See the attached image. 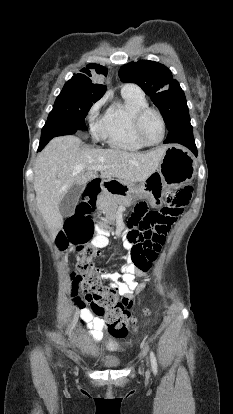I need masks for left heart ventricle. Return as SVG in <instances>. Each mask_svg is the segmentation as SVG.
<instances>
[{"label":"left heart ventricle","mask_w":233,"mask_h":414,"mask_svg":"<svg viewBox=\"0 0 233 414\" xmlns=\"http://www.w3.org/2000/svg\"><path fill=\"white\" fill-rule=\"evenodd\" d=\"M142 128L144 135L151 142L158 141L162 136L161 121L154 113H150L144 118Z\"/></svg>","instance_id":"left-heart-ventricle-1"}]
</instances>
